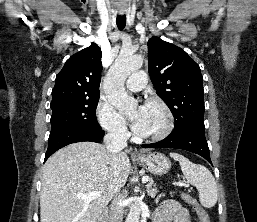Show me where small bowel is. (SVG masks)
Segmentation results:
<instances>
[{"label": "small bowel", "mask_w": 257, "mask_h": 222, "mask_svg": "<svg viewBox=\"0 0 257 222\" xmlns=\"http://www.w3.org/2000/svg\"><path fill=\"white\" fill-rule=\"evenodd\" d=\"M155 222H192L188 210L173 200L164 201Z\"/></svg>", "instance_id": "obj_1"}]
</instances>
